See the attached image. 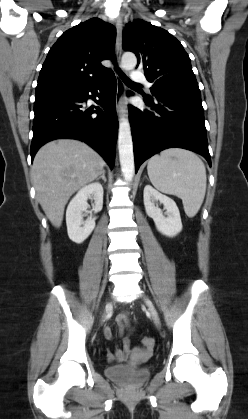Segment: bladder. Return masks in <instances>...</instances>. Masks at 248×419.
Masks as SVG:
<instances>
[{
	"label": "bladder",
	"mask_w": 248,
	"mask_h": 419,
	"mask_svg": "<svg viewBox=\"0 0 248 419\" xmlns=\"http://www.w3.org/2000/svg\"><path fill=\"white\" fill-rule=\"evenodd\" d=\"M105 374L109 379L129 388L140 387L151 376L149 369L137 368L133 365L107 366Z\"/></svg>",
	"instance_id": "obj_1"
}]
</instances>
